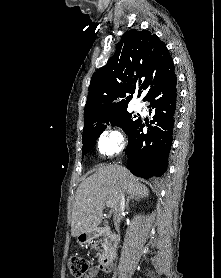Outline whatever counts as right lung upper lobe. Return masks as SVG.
I'll list each match as a JSON object with an SVG mask.
<instances>
[{"instance_id": "cb5924a9", "label": "right lung upper lobe", "mask_w": 221, "mask_h": 278, "mask_svg": "<svg viewBox=\"0 0 221 278\" xmlns=\"http://www.w3.org/2000/svg\"><path fill=\"white\" fill-rule=\"evenodd\" d=\"M174 73L166 45L147 30L127 31L115 54L91 78L85 122L127 108L137 86L146 94ZM127 94H131L126 96Z\"/></svg>"}]
</instances>
